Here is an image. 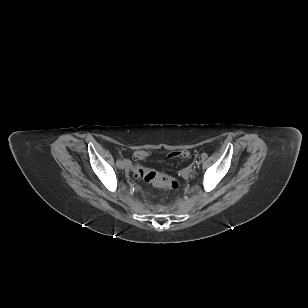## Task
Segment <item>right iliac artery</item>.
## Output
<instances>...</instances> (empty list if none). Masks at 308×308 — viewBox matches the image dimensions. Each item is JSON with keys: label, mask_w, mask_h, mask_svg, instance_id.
<instances>
[{"label": "right iliac artery", "mask_w": 308, "mask_h": 308, "mask_svg": "<svg viewBox=\"0 0 308 308\" xmlns=\"http://www.w3.org/2000/svg\"><path fill=\"white\" fill-rule=\"evenodd\" d=\"M120 163H121V160H117L116 165L119 166Z\"/></svg>", "instance_id": "obj_1"}]
</instances>
